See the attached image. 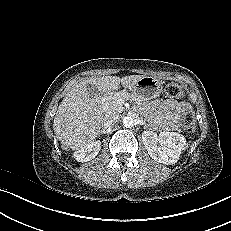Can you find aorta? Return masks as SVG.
Masks as SVG:
<instances>
[{"label": "aorta", "instance_id": "aorta-1", "mask_svg": "<svg viewBox=\"0 0 231 231\" xmlns=\"http://www.w3.org/2000/svg\"><path fill=\"white\" fill-rule=\"evenodd\" d=\"M123 125L126 127V128H131L133 127L134 125V120L132 117H129V116H125L123 118Z\"/></svg>", "mask_w": 231, "mask_h": 231}]
</instances>
